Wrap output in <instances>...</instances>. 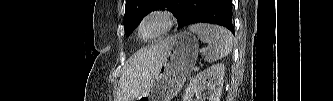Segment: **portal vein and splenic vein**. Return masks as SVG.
Returning a JSON list of instances; mask_svg holds the SVG:
<instances>
[{"label":"portal vein and splenic vein","mask_w":333,"mask_h":101,"mask_svg":"<svg viewBox=\"0 0 333 101\" xmlns=\"http://www.w3.org/2000/svg\"><path fill=\"white\" fill-rule=\"evenodd\" d=\"M206 50H202L201 52L205 53ZM194 70H197V68H194Z\"/></svg>","instance_id":"18ae733b"}]
</instances>
